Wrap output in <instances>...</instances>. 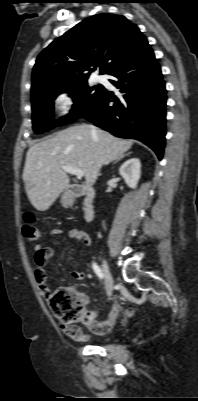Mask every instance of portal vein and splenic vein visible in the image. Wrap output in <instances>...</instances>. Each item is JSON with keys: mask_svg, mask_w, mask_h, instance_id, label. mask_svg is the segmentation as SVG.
Wrapping results in <instances>:
<instances>
[{"mask_svg": "<svg viewBox=\"0 0 198 401\" xmlns=\"http://www.w3.org/2000/svg\"><path fill=\"white\" fill-rule=\"evenodd\" d=\"M63 170L69 174L75 175L78 178L84 176V171L80 168L71 167V166H62Z\"/></svg>", "mask_w": 198, "mask_h": 401, "instance_id": "1", "label": "portal vein and splenic vein"}]
</instances>
